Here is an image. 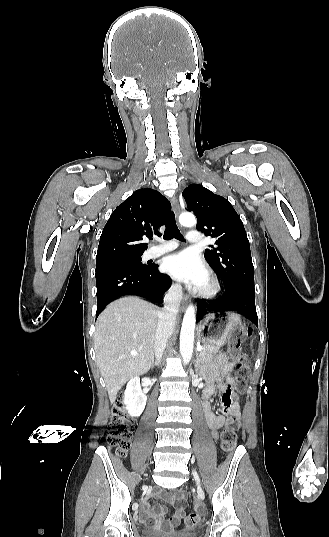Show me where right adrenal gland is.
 <instances>
[{"mask_svg": "<svg viewBox=\"0 0 329 537\" xmlns=\"http://www.w3.org/2000/svg\"><path fill=\"white\" fill-rule=\"evenodd\" d=\"M159 364H160V360H157V361L152 363L151 367L153 368L155 366H159Z\"/></svg>", "mask_w": 329, "mask_h": 537, "instance_id": "right-adrenal-gland-1", "label": "right adrenal gland"}]
</instances>
